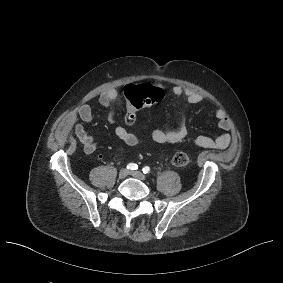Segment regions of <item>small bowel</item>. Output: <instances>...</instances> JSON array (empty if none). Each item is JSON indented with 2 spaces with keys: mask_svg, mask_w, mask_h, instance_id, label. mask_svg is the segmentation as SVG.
<instances>
[{
  "mask_svg": "<svg viewBox=\"0 0 283 283\" xmlns=\"http://www.w3.org/2000/svg\"><path fill=\"white\" fill-rule=\"evenodd\" d=\"M161 85V84H160ZM172 93L178 98H183L188 104H197L202 100V96L192 90L185 89L180 85H175L172 88ZM118 93L115 89L107 90L101 93L99 97L100 104L104 107L105 112L101 114H94L91 107L87 103H83L77 114L70 116L66 121V127L72 128L75 136L83 145V150L87 155L93 154L97 149V139L94 135L85 131L80 121L84 123H92L96 120H107L113 125L114 133L117 138L124 144L135 146L142 141V137L138 134L127 131L124 127L117 123V112L113 107ZM217 124L222 133L216 138L207 136H196L188 138V130L186 125H181L178 129L173 131H164L155 129L151 133V138L154 142L159 144H178L185 140L191 141L194 145L209 149H225L231 140V121L223 109L215 111Z\"/></svg>",
  "mask_w": 283,
  "mask_h": 283,
  "instance_id": "small-bowel-1",
  "label": "small bowel"
}]
</instances>
